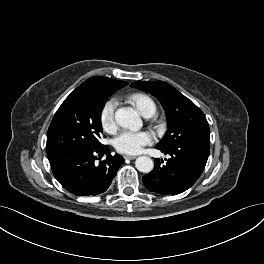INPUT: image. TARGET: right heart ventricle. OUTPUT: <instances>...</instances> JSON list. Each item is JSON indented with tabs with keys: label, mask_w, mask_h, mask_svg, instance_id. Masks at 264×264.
I'll return each mask as SVG.
<instances>
[{
	"label": "right heart ventricle",
	"mask_w": 264,
	"mask_h": 264,
	"mask_svg": "<svg viewBox=\"0 0 264 264\" xmlns=\"http://www.w3.org/2000/svg\"><path fill=\"white\" fill-rule=\"evenodd\" d=\"M129 99L145 117L154 115L157 110L154 100L144 93H134Z\"/></svg>",
	"instance_id": "1"
}]
</instances>
